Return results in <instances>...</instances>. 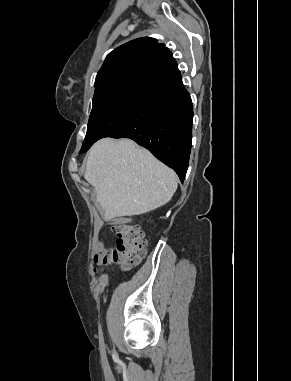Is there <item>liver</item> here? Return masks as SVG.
<instances>
[{
	"instance_id": "liver-1",
	"label": "liver",
	"mask_w": 291,
	"mask_h": 381,
	"mask_svg": "<svg viewBox=\"0 0 291 381\" xmlns=\"http://www.w3.org/2000/svg\"><path fill=\"white\" fill-rule=\"evenodd\" d=\"M84 178L96 191L105 221L159 208L171 200L178 186L172 169L130 139L96 142Z\"/></svg>"
}]
</instances>
